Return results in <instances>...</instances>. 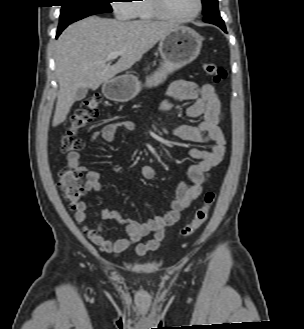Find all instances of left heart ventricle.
<instances>
[{
    "label": "left heart ventricle",
    "mask_w": 304,
    "mask_h": 329,
    "mask_svg": "<svg viewBox=\"0 0 304 329\" xmlns=\"http://www.w3.org/2000/svg\"><path fill=\"white\" fill-rule=\"evenodd\" d=\"M168 10L177 16H188L197 9V0H165Z\"/></svg>",
    "instance_id": "obj_1"
}]
</instances>
